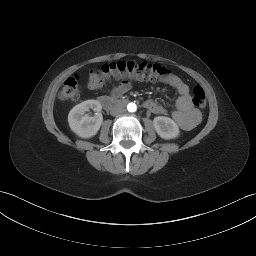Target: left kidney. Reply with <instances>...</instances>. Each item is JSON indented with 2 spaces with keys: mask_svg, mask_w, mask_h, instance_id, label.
Wrapping results in <instances>:
<instances>
[{
  "mask_svg": "<svg viewBox=\"0 0 256 256\" xmlns=\"http://www.w3.org/2000/svg\"><path fill=\"white\" fill-rule=\"evenodd\" d=\"M153 125L157 134L163 139H175L179 136L180 131L178 125L169 117H155Z\"/></svg>",
  "mask_w": 256,
  "mask_h": 256,
  "instance_id": "left-kidney-1",
  "label": "left kidney"
}]
</instances>
